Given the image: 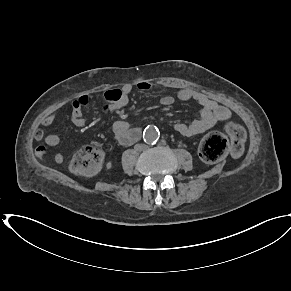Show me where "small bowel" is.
Here are the masks:
<instances>
[{"label":"small bowel","mask_w":291,"mask_h":291,"mask_svg":"<svg viewBox=\"0 0 291 291\" xmlns=\"http://www.w3.org/2000/svg\"><path fill=\"white\" fill-rule=\"evenodd\" d=\"M136 86L141 90L151 89V84L145 79H139ZM133 85L125 83L120 87L110 88L104 93L103 112L107 115L116 114L121 111L129 102ZM178 98L182 101H195L201 107L200 117L191 123H176L174 129L183 136H194L201 134L212 128L217 122L225 121L230 118V111L227 107L218 104L216 101L208 97L202 92L191 88H183L178 92ZM89 102L87 95H82L73 100L71 106V121L77 127H85L88 119L84 115V108ZM160 103L164 106H170L174 103V98L170 95L161 97ZM63 110V106H59L50 111L41 121V127L38 128L34 137L36 140H44L46 145L57 147L61 140L58 135L44 134L43 128L50 126ZM115 139L124 146L133 144L140 138L141 128H131L124 120H118L113 124L112 128ZM46 147L39 146L36 149V155L42 158L46 154ZM56 163H63L65 155L57 153L54 157Z\"/></svg>","instance_id":"small-bowel-1"}]
</instances>
